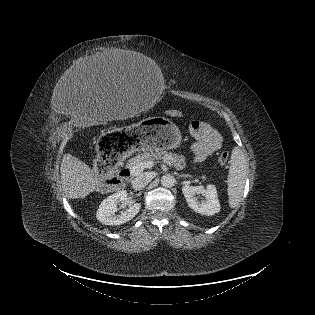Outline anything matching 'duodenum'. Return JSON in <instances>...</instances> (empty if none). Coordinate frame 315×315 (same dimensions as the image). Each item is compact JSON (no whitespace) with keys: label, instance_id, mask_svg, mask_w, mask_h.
I'll list each match as a JSON object with an SVG mask.
<instances>
[{"label":"duodenum","instance_id":"410a0bca","mask_svg":"<svg viewBox=\"0 0 315 315\" xmlns=\"http://www.w3.org/2000/svg\"><path fill=\"white\" fill-rule=\"evenodd\" d=\"M131 173L127 168H122L118 173V184H123L129 177Z\"/></svg>","mask_w":315,"mask_h":315}]
</instances>
